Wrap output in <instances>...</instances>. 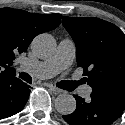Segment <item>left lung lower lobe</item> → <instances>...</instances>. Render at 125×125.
<instances>
[{"instance_id":"obj_1","label":"left lung lower lobe","mask_w":125,"mask_h":125,"mask_svg":"<svg viewBox=\"0 0 125 125\" xmlns=\"http://www.w3.org/2000/svg\"><path fill=\"white\" fill-rule=\"evenodd\" d=\"M76 110L63 119L70 125H111L125 110V95L92 92L91 99L74 96Z\"/></svg>"}]
</instances>
